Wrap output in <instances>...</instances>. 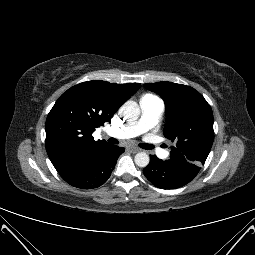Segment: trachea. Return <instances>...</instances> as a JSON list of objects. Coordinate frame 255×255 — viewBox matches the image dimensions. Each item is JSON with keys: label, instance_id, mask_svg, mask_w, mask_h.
<instances>
[{"label": "trachea", "instance_id": "obj_1", "mask_svg": "<svg viewBox=\"0 0 255 255\" xmlns=\"http://www.w3.org/2000/svg\"><path fill=\"white\" fill-rule=\"evenodd\" d=\"M108 142L118 144V141L115 138H109ZM140 146L147 150H150L153 148V145H151V144H140Z\"/></svg>", "mask_w": 255, "mask_h": 255}]
</instances>
